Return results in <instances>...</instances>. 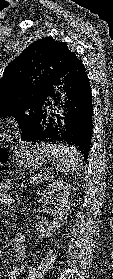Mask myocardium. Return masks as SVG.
Wrapping results in <instances>:
<instances>
[{
  "label": "myocardium",
  "instance_id": "1",
  "mask_svg": "<svg viewBox=\"0 0 113 279\" xmlns=\"http://www.w3.org/2000/svg\"><path fill=\"white\" fill-rule=\"evenodd\" d=\"M11 121H9V123H10ZM5 123L6 122H0V132H1V130L5 127Z\"/></svg>",
  "mask_w": 113,
  "mask_h": 279
}]
</instances>
